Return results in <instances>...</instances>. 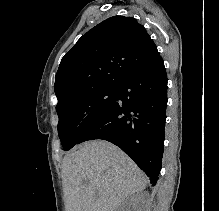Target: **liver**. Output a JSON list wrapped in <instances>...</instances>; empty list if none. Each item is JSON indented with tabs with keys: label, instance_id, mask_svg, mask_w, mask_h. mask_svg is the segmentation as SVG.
Wrapping results in <instances>:
<instances>
[{
	"label": "liver",
	"instance_id": "1",
	"mask_svg": "<svg viewBox=\"0 0 219 211\" xmlns=\"http://www.w3.org/2000/svg\"><path fill=\"white\" fill-rule=\"evenodd\" d=\"M66 211H117L125 197L146 189L148 177L120 147L92 139L62 163Z\"/></svg>",
	"mask_w": 219,
	"mask_h": 211
}]
</instances>
